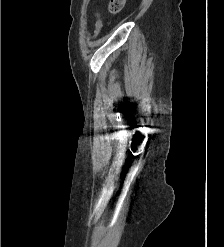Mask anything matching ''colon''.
<instances>
[{
  "instance_id": "1",
  "label": "colon",
  "mask_w": 224,
  "mask_h": 247,
  "mask_svg": "<svg viewBox=\"0 0 224 247\" xmlns=\"http://www.w3.org/2000/svg\"><path fill=\"white\" fill-rule=\"evenodd\" d=\"M126 2L127 0H110L108 4L109 13L115 15L121 12L125 7Z\"/></svg>"
}]
</instances>
